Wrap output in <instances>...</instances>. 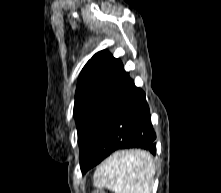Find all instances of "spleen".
Returning a JSON list of instances; mask_svg holds the SVG:
<instances>
[{
  "label": "spleen",
  "mask_w": 221,
  "mask_h": 193,
  "mask_svg": "<svg viewBox=\"0 0 221 193\" xmlns=\"http://www.w3.org/2000/svg\"><path fill=\"white\" fill-rule=\"evenodd\" d=\"M155 167L143 150L115 152L95 171L94 186L114 193H151Z\"/></svg>",
  "instance_id": "spleen-1"
}]
</instances>
